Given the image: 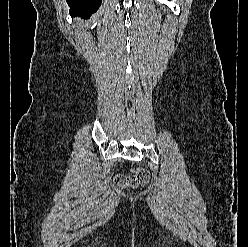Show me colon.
Instances as JSON below:
<instances>
[{"label":"colon","mask_w":248,"mask_h":247,"mask_svg":"<svg viewBox=\"0 0 248 247\" xmlns=\"http://www.w3.org/2000/svg\"><path fill=\"white\" fill-rule=\"evenodd\" d=\"M149 180V173L145 168L137 167L129 171L128 174H118L115 176V184L121 188L133 189L146 184Z\"/></svg>","instance_id":"obj_1"}]
</instances>
